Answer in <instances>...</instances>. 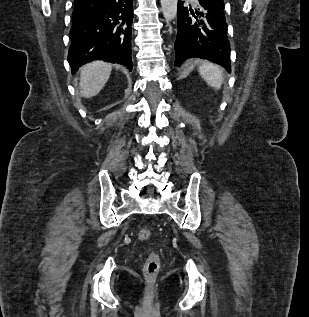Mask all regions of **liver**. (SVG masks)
Masks as SVG:
<instances>
[{"label": "liver", "mask_w": 309, "mask_h": 317, "mask_svg": "<svg viewBox=\"0 0 309 317\" xmlns=\"http://www.w3.org/2000/svg\"><path fill=\"white\" fill-rule=\"evenodd\" d=\"M112 66L103 61H94L84 65L80 70L81 96H96L105 86L111 74Z\"/></svg>", "instance_id": "liver-1"}]
</instances>
